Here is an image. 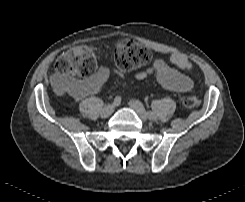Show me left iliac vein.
Here are the masks:
<instances>
[{
	"label": "left iliac vein",
	"instance_id": "4c4485c4",
	"mask_svg": "<svg viewBox=\"0 0 245 202\" xmlns=\"http://www.w3.org/2000/svg\"><path fill=\"white\" fill-rule=\"evenodd\" d=\"M131 108L137 113V115L140 117V119L142 121H147L148 120V115H147V112L144 108V106L142 105L141 102H139L138 100H131L129 102ZM155 118V116H154Z\"/></svg>",
	"mask_w": 245,
	"mask_h": 202
}]
</instances>
